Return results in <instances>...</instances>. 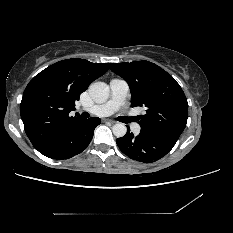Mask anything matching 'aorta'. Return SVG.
Here are the masks:
<instances>
[{
    "instance_id": "aorta-1",
    "label": "aorta",
    "mask_w": 233,
    "mask_h": 233,
    "mask_svg": "<svg viewBox=\"0 0 233 233\" xmlns=\"http://www.w3.org/2000/svg\"><path fill=\"white\" fill-rule=\"evenodd\" d=\"M89 95L97 103L105 102L109 97V86L104 82H95L89 86ZM113 134L116 137H123L127 132L124 124L118 123L112 127Z\"/></svg>"
}]
</instances>
